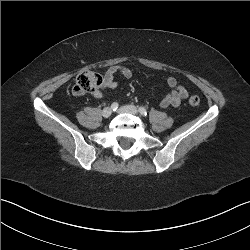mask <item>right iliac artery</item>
I'll use <instances>...</instances> for the list:
<instances>
[{
    "mask_svg": "<svg viewBox=\"0 0 250 250\" xmlns=\"http://www.w3.org/2000/svg\"><path fill=\"white\" fill-rule=\"evenodd\" d=\"M118 106H119V104H118L117 102H114V103H112V105H111V109H112L113 111H116L117 108H118Z\"/></svg>",
    "mask_w": 250,
    "mask_h": 250,
    "instance_id": "right-iliac-artery-1",
    "label": "right iliac artery"
}]
</instances>
